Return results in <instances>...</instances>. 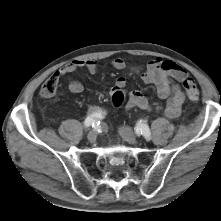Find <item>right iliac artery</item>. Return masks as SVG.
Returning <instances> with one entry per match:
<instances>
[{
  "label": "right iliac artery",
  "instance_id": "1",
  "mask_svg": "<svg viewBox=\"0 0 221 221\" xmlns=\"http://www.w3.org/2000/svg\"><path fill=\"white\" fill-rule=\"evenodd\" d=\"M103 116L101 112H93L91 115H89L85 121L84 126L85 127H96L100 124V119H102Z\"/></svg>",
  "mask_w": 221,
  "mask_h": 221
}]
</instances>
